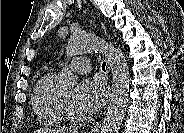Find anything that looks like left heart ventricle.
<instances>
[{"label": "left heart ventricle", "instance_id": "b2bd125f", "mask_svg": "<svg viewBox=\"0 0 184 133\" xmlns=\"http://www.w3.org/2000/svg\"><path fill=\"white\" fill-rule=\"evenodd\" d=\"M64 96H65L66 99L70 100L71 96H72V92L71 91L66 92V93H64Z\"/></svg>", "mask_w": 184, "mask_h": 133}]
</instances>
